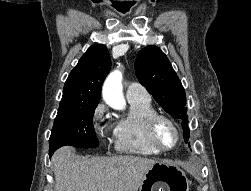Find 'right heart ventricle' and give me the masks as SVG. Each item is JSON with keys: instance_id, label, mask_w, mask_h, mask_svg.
Masks as SVG:
<instances>
[{"instance_id": "1", "label": "right heart ventricle", "mask_w": 251, "mask_h": 191, "mask_svg": "<svg viewBox=\"0 0 251 191\" xmlns=\"http://www.w3.org/2000/svg\"><path fill=\"white\" fill-rule=\"evenodd\" d=\"M130 115L117 122L113 136L115 150L122 154L154 157L157 152L149 145L145 136V122L155 111L151 99L129 100Z\"/></svg>"}]
</instances>
